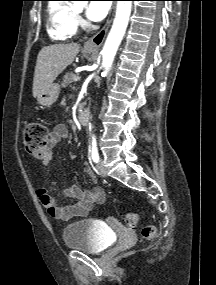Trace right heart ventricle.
Segmentation results:
<instances>
[{
  "mask_svg": "<svg viewBox=\"0 0 216 285\" xmlns=\"http://www.w3.org/2000/svg\"><path fill=\"white\" fill-rule=\"evenodd\" d=\"M47 32L52 41L65 42L77 32L75 8L68 2L53 0L47 5Z\"/></svg>",
  "mask_w": 216,
  "mask_h": 285,
  "instance_id": "obj_1",
  "label": "right heart ventricle"
}]
</instances>
